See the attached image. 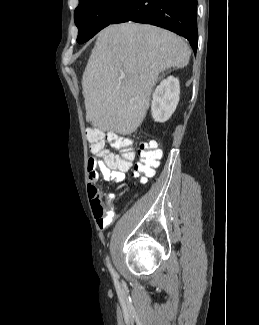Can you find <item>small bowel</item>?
<instances>
[{"instance_id":"obj_1","label":"small bowel","mask_w":259,"mask_h":325,"mask_svg":"<svg viewBox=\"0 0 259 325\" xmlns=\"http://www.w3.org/2000/svg\"><path fill=\"white\" fill-rule=\"evenodd\" d=\"M152 143H156L152 141ZM101 159L95 158L88 160V193L92 204L93 214L100 228H106L113 218V213L109 210L100 199V195L96 186L99 174L106 181L120 183L125 178V172L129 168H120L118 163L120 157L114 153L105 151L100 155ZM114 199L113 194L107 195L105 202L111 205Z\"/></svg>"}]
</instances>
